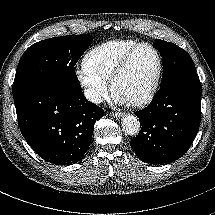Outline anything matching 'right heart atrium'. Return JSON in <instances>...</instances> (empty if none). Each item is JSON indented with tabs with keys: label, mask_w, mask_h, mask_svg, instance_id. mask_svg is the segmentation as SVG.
<instances>
[{
	"label": "right heart atrium",
	"mask_w": 215,
	"mask_h": 215,
	"mask_svg": "<svg viewBox=\"0 0 215 215\" xmlns=\"http://www.w3.org/2000/svg\"><path fill=\"white\" fill-rule=\"evenodd\" d=\"M75 78L85 99L91 104L98 105L107 98V83L90 76L84 69L76 70Z\"/></svg>",
	"instance_id": "right-heart-atrium-1"
}]
</instances>
